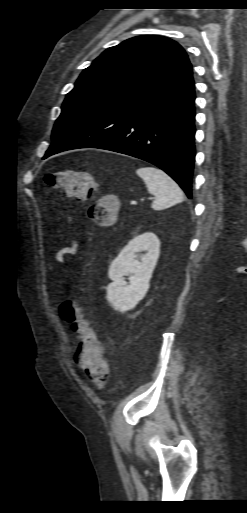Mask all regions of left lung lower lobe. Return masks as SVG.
Returning <instances> with one entry per match:
<instances>
[{
  "instance_id": "obj_1",
  "label": "left lung lower lobe",
  "mask_w": 247,
  "mask_h": 513,
  "mask_svg": "<svg viewBox=\"0 0 247 513\" xmlns=\"http://www.w3.org/2000/svg\"><path fill=\"white\" fill-rule=\"evenodd\" d=\"M192 65L72 135L43 158L77 148H99L148 161L192 198L195 161Z\"/></svg>"
}]
</instances>
